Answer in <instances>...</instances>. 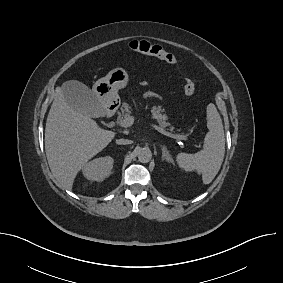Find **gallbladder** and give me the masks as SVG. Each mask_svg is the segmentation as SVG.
Instances as JSON below:
<instances>
[{"mask_svg":"<svg viewBox=\"0 0 283 283\" xmlns=\"http://www.w3.org/2000/svg\"><path fill=\"white\" fill-rule=\"evenodd\" d=\"M61 89L66 103L76 112L90 117H99L103 114L102 106L85 84L69 80L63 83Z\"/></svg>","mask_w":283,"mask_h":283,"instance_id":"bac80fb5","label":"gallbladder"}]
</instances>
